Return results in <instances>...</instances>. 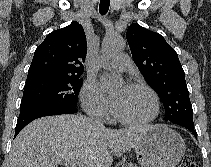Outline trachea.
I'll return each instance as SVG.
<instances>
[{"mask_svg":"<svg viewBox=\"0 0 211 167\" xmlns=\"http://www.w3.org/2000/svg\"><path fill=\"white\" fill-rule=\"evenodd\" d=\"M110 6V0H101L99 5V12L101 15H105L108 12Z\"/></svg>","mask_w":211,"mask_h":167,"instance_id":"trachea-1","label":"trachea"}]
</instances>
